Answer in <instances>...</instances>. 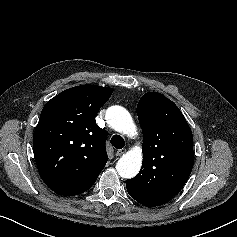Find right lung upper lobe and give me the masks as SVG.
<instances>
[{"mask_svg": "<svg viewBox=\"0 0 237 237\" xmlns=\"http://www.w3.org/2000/svg\"><path fill=\"white\" fill-rule=\"evenodd\" d=\"M112 88L81 85L67 89L44 106L33 135L39 174L54 192L75 196L95 183L106 165L107 133L95 116Z\"/></svg>", "mask_w": 237, "mask_h": 237, "instance_id": "cb5924a9", "label": "right lung upper lobe"}]
</instances>
